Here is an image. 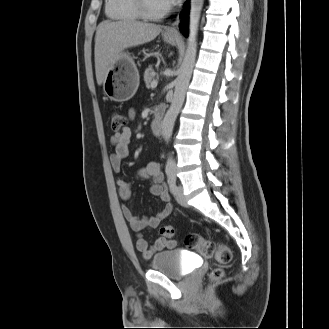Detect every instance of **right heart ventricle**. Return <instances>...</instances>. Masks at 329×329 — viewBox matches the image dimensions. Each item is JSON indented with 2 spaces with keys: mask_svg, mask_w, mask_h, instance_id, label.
<instances>
[{
  "mask_svg": "<svg viewBox=\"0 0 329 329\" xmlns=\"http://www.w3.org/2000/svg\"><path fill=\"white\" fill-rule=\"evenodd\" d=\"M106 13L117 20L136 21L141 19V14L135 0H106Z\"/></svg>",
  "mask_w": 329,
  "mask_h": 329,
  "instance_id": "right-heart-ventricle-1",
  "label": "right heart ventricle"
}]
</instances>
